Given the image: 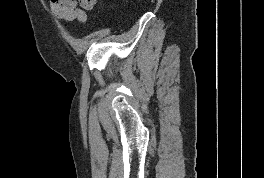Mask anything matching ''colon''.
<instances>
[{"label":"colon","instance_id":"colon-1","mask_svg":"<svg viewBox=\"0 0 264 178\" xmlns=\"http://www.w3.org/2000/svg\"><path fill=\"white\" fill-rule=\"evenodd\" d=\"M93 0H83L84 6H88Z\"/></svg>","mask_w":264,"mask_h":178}]
</instances>
